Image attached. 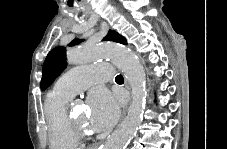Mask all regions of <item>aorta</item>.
Returning a JSON list of instances; mask_svg holds the SVG:
<instances>
[{
  "instance_id": "obj_1",
  "label": "aorta",
  "mask_w": 227,
  "mask_h": 149,
  "mask_svg": "<svg viewBox=\"0 0 227 149\" xmlns=\"http://www.w3.org/2000/svg\"><path fill=\"white\" fill-rule=\"evenodd\" d=\"M105 58H109L124 73L132 88V102L127 116L109 136L103 149H125L136 134L142 119L146 98L143 66L128 48L116 44L81 46L67 52L68 63L73 65Z\"/></svg>"
}]
</instances>
